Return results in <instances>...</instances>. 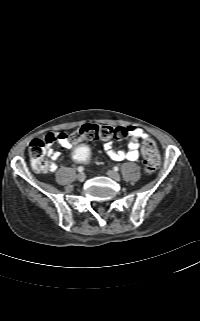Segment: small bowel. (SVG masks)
Instances as JSON below:
<instances>
[{
  "label": "small bowel",
  "instance_id": "1",
  "mask_svg": "<svg viewBox=\"0 0 200 321\" xmlns=\"http://www.w3.org/2000/svg\"><path fill=\"white\" fill-rule=\"evenodd\" d=\"M125 131L129 137V142L127 144L126 150L115 149L111 141H106L103 144L104 151L106 152L107 156L113 161H123V160L136 161L139 158V141L150 140L149 135L145 133L144 130L141 129L140 127L128 126L125 128ZM48 134H51L55 137V139L51 143L47 144L48 156L52 161L50 163L49 171L54 172L57 169V165L55 164L54 161H56L59 158L60 153L52 150L51 145L54 142H57L62 147L66 149H71V147L75 143L71 140L69 135H67L64 132H56V133H48Z\"/></svg>",
  "mask_w": 200,
  "mask_h": 321
}]
</instances>
